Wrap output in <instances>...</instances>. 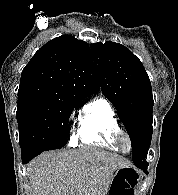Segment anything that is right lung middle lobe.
I'll list each match as a JSON object with an SVG mask.
<instances>
[{"label":"right lung middle lobe","instance_id":"dd1d6c3e","mask_svg":"<svg viewBox=\"0 0 178 195\" xmlns=\"http://www.w3.org/2000/svg\"><path fill=\"white\" fill-rule=\"evenodd\" d=\"M80 102L48 96L18 97L16 118L21 150L63 147L70 114Z\"/></svg>","mask_w":178,"mask_h":195}]
</instances>
